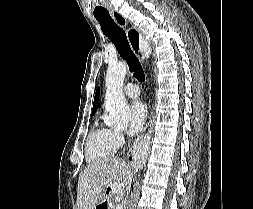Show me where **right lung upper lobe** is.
Instances as JSON below:
<instances>
[{
	"label": "right lung upper lobe",
	"instance_id": "cb5924a9",
	"mask_svg": "<svg viewBox=\"0 0 253 209\" xmlns=\"http://www.w3.org/2000/svg\"><path fill=\"white\" fill-rule=\"evenodd\" d=\"M99 93H100V89L98 88L97 91H96V94H95V99H94V105H93V108L98 100V97H99ZM95 113V110L92 111V114Z\"/></svg>",
	"mask_w": 253,
	"mask_h": 209
}]
</instances>
